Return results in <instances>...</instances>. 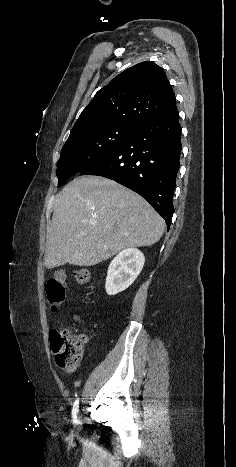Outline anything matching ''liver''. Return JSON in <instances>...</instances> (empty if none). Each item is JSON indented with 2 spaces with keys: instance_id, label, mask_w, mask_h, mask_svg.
<instances>
[{
  "instance_id": "1",
  "label": "liver",
  "mask_w": 236,
  "mask_h": 467,
  "mask_svg": "<svg viewBox=\"0 0 236 467\" xmlns=\"http://www.w3.org/2000/svg\"><path fill=\"white\" fill-rule=\"evenodd\" d=\"M164 226L132 190L104 177L75 178L56 196L44 265L93 266L124 249L152 246Z\"/></svg>"
}]
</instances>
